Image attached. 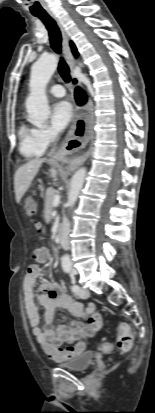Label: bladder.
I'll return each mask as SVG.
<instances>
[{"label": "bladder", "mask_w": 155, "mask_h": 413, "mask_svg": "<svg viewBox=\"0 0 155 413\" xmlns=\"http://www.w3.org/2000/svg\"><path fill=\"white\" fill-rule=\"evenodd\" d=\"M94 355L91 352L80 353L67 362L62 363L60 367L71 370L82 372L86 371L93 364Z\"/></svg>", "instance_id": "31cf9c89"}]
</instances>
